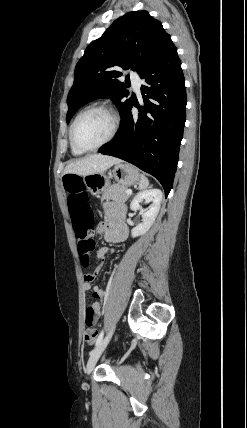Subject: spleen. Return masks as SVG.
<instances>
[{
  "mask_svg": "<svg viewBox=\"0 0 247 428\" xmlns=\"http://www.w3.org/2000/svg\"><path fill=\"white\" fill-rule=\"evenodd\" d=\"M148 185H149L148 179L146 178V176L144 174H142L141 178H140V182H139V189H141V190L146 189L148 187Z\"/></svg>",
  "mask_w": 247,
  "mask_h": 428,
  "instance_id": "1",
  "label": "spleen"
}]
</instances>
